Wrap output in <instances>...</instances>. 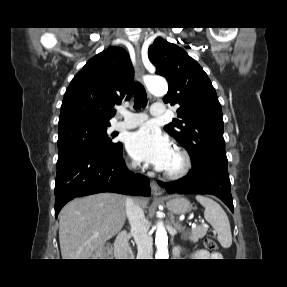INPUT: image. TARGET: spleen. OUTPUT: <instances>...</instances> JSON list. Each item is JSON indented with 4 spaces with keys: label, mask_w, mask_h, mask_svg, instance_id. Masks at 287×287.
Listing matches in <instances>:
<instances>
[{
    "label": "spleen",
    "mask_w": 287,
    "mask_h": 287,
    "mask_svg": "<svg viewBox=\"0 0 287 287\" xmlns=\"http://www.w3.org/2000/svg\"><path fill=\"white\" fill-rule=\"evenodd\" d=\"M196 200L205 208L204 218L217 232V239L223 248L232 244V234L227 214L223 208L211 198L197 195Z\"/></svg>",
    "instance_id": "spleen-1"
}]
</instances>
